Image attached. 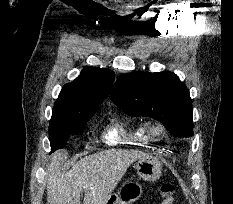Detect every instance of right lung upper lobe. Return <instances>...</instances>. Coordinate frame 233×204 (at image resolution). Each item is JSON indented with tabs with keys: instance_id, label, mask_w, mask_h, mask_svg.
<instances>
[{
	"instance_id": "1",
	"label": "right lung upper lobe",
	"mask_w": 233,
	"mask_h": 204,
	"mask_svg": "<svg viewBox=\"0 0 233 204\" xmlns=\"http://www.w3.org/2000/svg\"><path fill=\"white\" fill-rule=\"evenodd\" d=\"M115 75L109 69L86 66L80 76L66 84L54 105L51 126L95 112L109 93Z\"/></svg>"
}]
</instances>
